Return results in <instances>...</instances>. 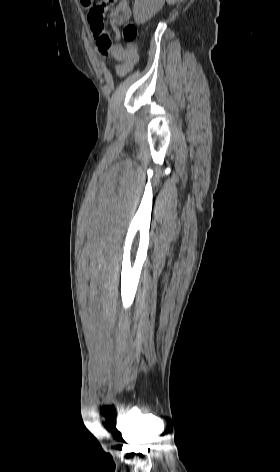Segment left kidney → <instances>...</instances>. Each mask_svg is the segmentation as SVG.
I'll list each match as a JSON object with an SVG mask.
<instances>
[{"mask_svg":"<svg viewBox=\"0 0 280 472\" xmlns=\"http://www.w3.org/2000/svg\"><path fill=\"white\" fill-rule=\"evenodd\" d=\"M161 0H135L133 7L134 19L142 24L149 20L161 8Z\"/></svg>","mask_w":280,"mask_h":472,"instance_id":"left-kidney-1","label":"left kidney"}]
</instances>
